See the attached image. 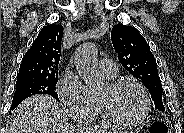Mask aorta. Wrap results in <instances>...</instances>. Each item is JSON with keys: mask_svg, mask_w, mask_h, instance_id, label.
Wrapping results in <instances>:
<instances>
[{"mask_svg": "<svg viewBox=\"0 0 184 133\" xmlns=\"http://www.w3.org/2000/svg\"><path fill=\"white\" fill-rule=\"evenodd\" d=\"M75 66L79 76L89 90H98L103 84V77L98 70L96 46L86 42L77 47L74 52Z\"/></svg>", "mask_w": 184, "mask_h": 133, "instance_id": "1", "label": "aorta"}]
</instances>
